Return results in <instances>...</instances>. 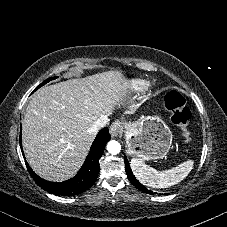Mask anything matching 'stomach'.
<instances>
[{
  "label": "stomach",
  "instance_id": "0dacf381",
  "mask_svg": "<svg viewBox=\"0 0 227 227\" xmlns=\"http://www.w3.org/2000/svg\"><path fill=\"white\" fill-rule=\"evenodd\" d=\"M127 152L142 160L161 159L172 144V132L157 115L125 124Z\"/></svg>",
  "mask_w": 227,
  "mask_h": 227
}]
</instances>
